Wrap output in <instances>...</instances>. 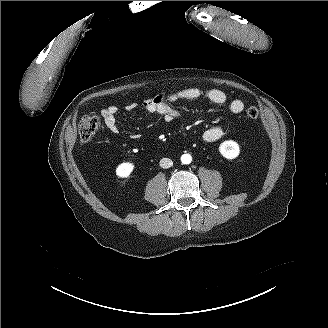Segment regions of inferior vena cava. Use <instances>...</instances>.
Masks as SVG:
<instances>
[{
  "instance_id": "602c4592",
  "label": "inferior vena cava",
  "mask_w": 328,
  "mask_h": 328,
  "mask_svg": "<svg viewBox=\"0 0 328 328\" xmlns=\"http://www.w3.org/2000/svg\"><path fill=\"white\" fill-rule=\"evenodd\" d=\"M173 162L169 158H163L160 160V166L162 168H170L172 166Z\"/></svg>"
}]
</instances>
